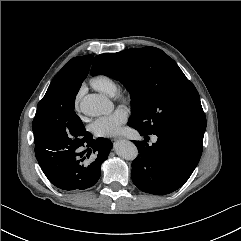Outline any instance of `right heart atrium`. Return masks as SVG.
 <instances>
[{
	"label": "right heart atrium",
	"instance_id": "d8ad5b80",
	"mask_svg": "<svg viewBox=\"0 0 241 241\" xmlns=\"http://www.w3.org/2000/svg\"><path fill=\"white\" fill-rule=\"evenodd\" d=\"M75 108H76V109L78 108V100H76Z\"/></svg>",
	"mask_w": 241,
	"mask_h": 241
}]
</instances>
